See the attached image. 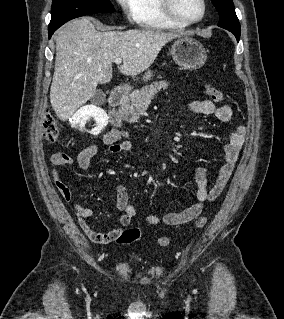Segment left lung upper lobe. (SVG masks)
<instances>
[{
    "label": "left lung upper lobe",
    "mask_w": 284,
    "mask_h": 319,
    "mask_svg": "<svg viewBox=\"0 0 284 319\" xmlns=\"http://www.w3.org/2000/svg\"><path fill=\"white\" fill-rule=\"evenodd\" d=\"M212 2L220 16L218 26L232 32L240 33V23L236 16L232 0H212Z\"/></svg>",
    "instance_id": "left-lung-upper-lobe-1"
}]
</instances>
